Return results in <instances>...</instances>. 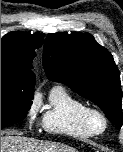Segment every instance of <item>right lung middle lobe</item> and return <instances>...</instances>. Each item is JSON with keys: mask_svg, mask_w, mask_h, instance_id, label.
Instances as JSON below:
<instances>
[{"mask_svg": "<svg viewBox=\"0 0 123 152\" xmlns=\"http://www.w3.org/2000/svg\"><path fill=\"white\" fill-rule=\"evenodd\" d=\"M33 88L1 75V127L25 118L32 104Z\"/></svg>", "mask_w": 123, "mask_h": 152, "instance_id": "obj_1", "label": "right lung middle lobe"}]
</instances>
